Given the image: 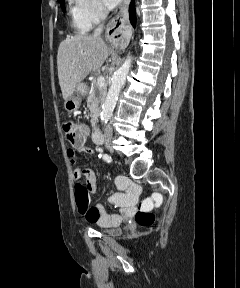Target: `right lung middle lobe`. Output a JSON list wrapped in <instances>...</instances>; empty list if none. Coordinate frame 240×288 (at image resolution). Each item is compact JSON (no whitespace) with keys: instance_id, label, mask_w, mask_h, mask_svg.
<instances>
[{"instance_id":"obj_1","label":"right lung middle lobe","mask_w":240,"mask_h":288,"mask_svg":"<svg viewBox=\"0 0 240 288\" xmlns=\"http://www.w3.org/2000/svg\"><path fill=\"white\" fill-rule=\"evenodd\" d=\"M61 3L63 12L65 11V0H58Z\"/></svg>"}]
</instances>
